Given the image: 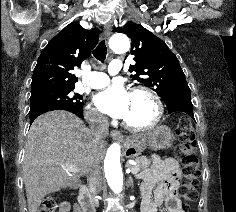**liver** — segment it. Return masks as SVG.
Masks as SVG:
<instances>
[{
	"label": "liver",
	"instance_id": "liver-1",
	"mask_svg": "<svg viewBox=\"0 0 236 212\" xmlns=\"http://www.w3.org/2000/svg\"><path fill=\"white\" fill-rule=\"evenodd\" d=\"M105 146V141L93 144L90 130L71 112L39 116L28 132L23 161L28 211L37 212L46 195L76 184L93 157L100 164ZM63 165H75L80 171L70 174Z\"/></svg>",
	"mask_w": 236,
	"mask_h": 212
}]
</instances>
